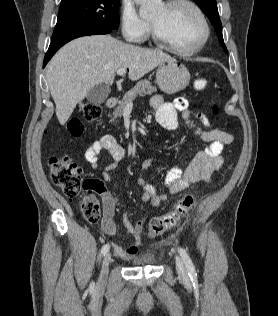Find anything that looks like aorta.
<instances>
[{
	"label": "aorta",
	"instance_id": "762f6f07",
	"mask_svg": "<svg viewBox=\"0 0 278 316\" xmlns=\"http://www.w3.org/2000/svg\"><path fill=\"white\" fill-rule=\"evenodd\" d=\"M139 5V14L142 18H147L158 10L161 0H135Z\"/></svg>",
	"mask_w": 278,
	"mask_h": 316
}]
</instances>
